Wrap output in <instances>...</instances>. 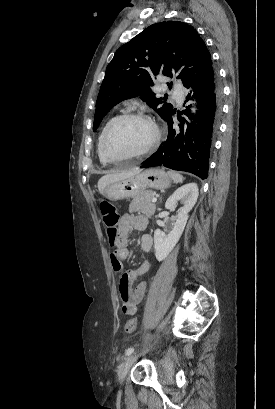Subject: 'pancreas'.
Listing matches in <instances>:
<instances>
[{
	"label": "pancreas",
	"instance_id": "cf45deb5",
	"mask_svg": "<svg viewBox=\"0 0 275 409\" xmlns=\"http://www.w3.org/2000/svg\"><path fill=\"white\" fill-rule=\"evenodd\" d=\"M153 196V190H143V192L134 196L129 205V213L139 211V213H144L146 217H152L156 209L154 202H152Z\"/></svg>",
	"mask_w": 275,
	"mask_h": 409
}]
</instances>
